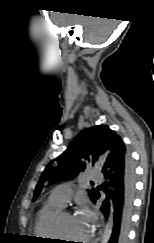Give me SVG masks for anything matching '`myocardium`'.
Returning a JSON list of instances; mask_svg holds the SVG:
<instances>
[{
  "label": "myocardium",
  "instance_id": "myocardium-1",
  "mask_svg": "<svg viewBox=\"0 0 154 243\" xmlns=\"http://www.w3.org/2000/svg\"><path fill=\"white\" fill-rule=\"evenodd\" d=\"M54 235L56 237V239L63 241L64 237L61 234V229H60V225H59V217L55 218L54 220ZM91 239V236H88L86 239H84V243H88Z\"/></svg>",
  "mask_w": 154,
  "mask_h": 243
}]
</instances>
